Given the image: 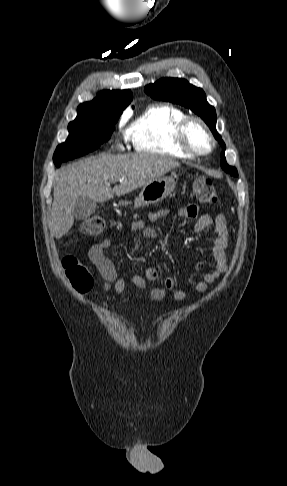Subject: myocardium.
<instances>
[{
    "mask_svg": "<svg viewBox=\"0 0 287 486\" xmlns=\"http://www.w3.org/2000/svg\"><path fill=\"white\" fill-rule=\"evenodd\" d=\"M198 125L202 131L205 133L207 138L209 139L210 146L205 151H200L193 147L188 139V130L191 125ZM176 141L178 145L188 154L195 156V157H202L209 155L216 146V141L211 133L210 129L206 125V123L199 117L196 116H187L185 117L177 126L176 129Z\"/></svg>",
    "mask_w": 287,
    "mask_h": 486,
    "instance_id": "1",
    "label": "myocardium"
}]
</instances>
